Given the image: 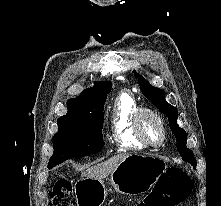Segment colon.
<instances>
[{
  "label": "colon",
  "instance_id": "1",
  "mask_svg": "<svg viewBox=\"0 0 221 206\" xmlns=\"http://www.w3.org/2000/svg\"><path fill=\"white\" fill-rule=\"evenodd\" d=\"M163 180L138 206H178L193 190L191 177L178 168H170ZM49 195L50 206H76L72 185L66 179L56 181Z\"/></svg>",
  "mask_w": 221,
  "mask_h": 206
}]
</instances>
